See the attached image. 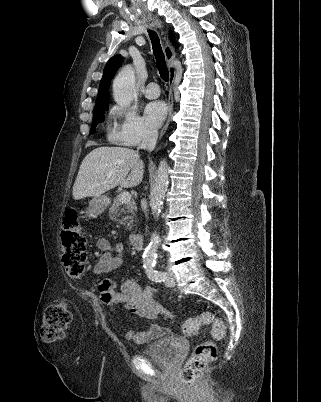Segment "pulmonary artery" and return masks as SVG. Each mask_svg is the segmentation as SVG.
<instances>
[{"label":"pulmonary artery","mask_w":321,"mask_h":402,"mask_svg":"<svg viewBox=\"0 0 321 402\" xmlns=\"http://www.w3.org/2000/svg\"><path fill=\"white\" fill-rule=\"evenodd\" d=\"M144 95L149 99H155L160 95V88L157 83L151 82L144 89Z\"/></svg>","instance_id":"obj_1"}]
</instances>
